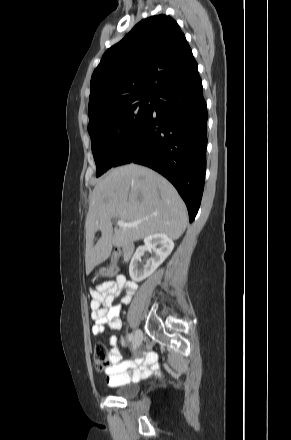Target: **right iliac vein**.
I'll return each mask as SVG.
<instances>
[{
    "mask_svg": "<svg viewBox=\"0 0 291 440\" xmlns=\"http://www.w3.org/2000/svg\"><path fill=\"white\" fill-rule=\"evenodd\" d=\"M143 340V333L141 332V330H136L135 335H134V340H133V347L134 349L138 348Z\"/></svg>",
    "mask_w": 291,
    "mask_h": 440,
    "instance_id": "right-iliac-vein-1",
    "label": "right iliac vein"
}]
</instances>
